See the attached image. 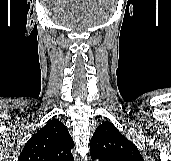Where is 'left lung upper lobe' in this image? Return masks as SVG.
I'll list each match as a JSON object with an SVG mask.
<instances>
[{
	"label": "left lung upper lobe",
	"mask_w": 171,
	"mask_h": 161,
	"mask_svg": "<svg viewBox=\"0 0 171 161\" xmlns=\"http://www.w3.org/2000/svg\"><path fill=\"white\" fill-rule=\"evenodd\" d=\"M93 160L144 161L137 147L110 122L100 125L90 140Z\"/></svg>",
	"instance_id": "5c2ea615"
}]
</instances>
